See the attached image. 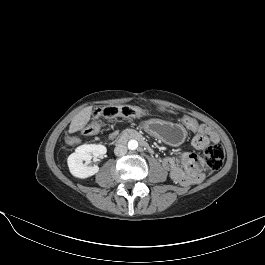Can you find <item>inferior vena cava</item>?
<instances>
[{"label": "inferior vena cava", "instance_id": "1", "mask_svg": "<svg viewBox=\"0 0 265 265\" xmlns=\"http://www.w3.org/2000/svg\"><path fill=\"white\" fill-rule=\"evenodd\" d=\"M127 153V146L123 144H118L114 149V154L116 156H124Z\"/></svg>", "mask_w": 265, "mask_h": 265}]
</instances>
